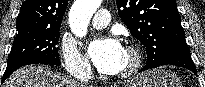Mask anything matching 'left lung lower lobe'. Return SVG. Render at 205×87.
Returning <instances> with one entry per match:
<instances>
[{
	"instance_id": "left-lung-lower-lobe-1",
	"label": "left lung lower lobe",
	"mask_w": 205,
	"mask_h": 87,
	"mask_svg": "<svg viewBox=\"0 0 205 87\" xmlns=\"http://www.w3.org/2000/svg\"><path fill=\"white\" fill-rule=\"evenodd\" d=\"M163 65L180 66L192 71L195 75H197L196 67L191 59L190 50L188 47L175 50L173 53H171L170 56H168L165 60H163L159 66H163ZM148 69L151 68L148 66H144L141 69V72Z\"/></svg>"
}]
</instances>
